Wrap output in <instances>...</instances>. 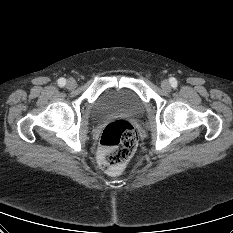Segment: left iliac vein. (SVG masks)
I'll use <instances>...</instances> for the list:
<instances>
[{
  "label": "left iliac vein",
  "instance_id": "left-iliac-vein-1",
  "mask_svg": "<svg viewBox=\"0 0 233 233\" xmlns=\"http://www.w3.org/2000/svg\"><path fill=\"white\" fill-rule=\"evenodd\" d=\"M161 87L165 91H170L171 90V84H170V82L168 80H163L161 82Z\"/></svg>",
  "mask_w": 233,
  "mask_h": 233
}]
</instances>
